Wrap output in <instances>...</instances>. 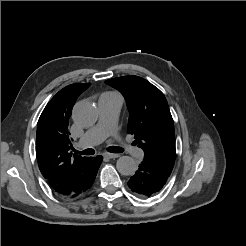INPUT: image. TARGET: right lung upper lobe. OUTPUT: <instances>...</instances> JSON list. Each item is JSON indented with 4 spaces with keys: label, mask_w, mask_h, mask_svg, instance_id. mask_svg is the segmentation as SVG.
I'll use <instances>...</instances> for the list:
<instances>
[{
    "label": "right lung upper lobe",
    "mask_w": 246,
    "mask_h": 246,
    "mask_svg": "<svg viewBox=\"0 0 246 246\" xmlns=\"http://www.w3.org/2000/svg\"><path fill=\"white\" fill-rule=\"evenodd\" d=\"M89 86L90 83H76L64 87L47 104L37 124L38 166L52 189L61 196L67 194L90 159L72 155L68 131L73 105Z\"/></svg>",
    "instance_id": "obj_1"
}]
</instances>
